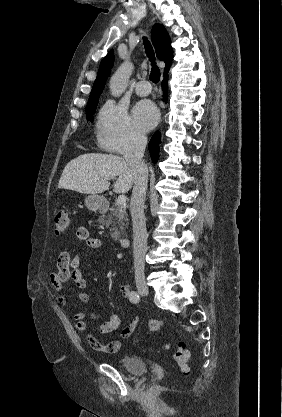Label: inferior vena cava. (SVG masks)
I'll use <instances>...</instances> for the list:
<instances>
[{
    "instance_id": "obj_1",
    "label": "inferior vena cava",
    "mask_w": 282,
    "mask_h": 417,
    "mask_svg": "<svg viewBox=\"0 0 282 417\" xmlns=\"http://www.w3.org/2000/svg\"><path fill=\"white\" fill-rule=\"evenodd\" d=\"M147 144L143 132H132L124 158L134 174V186L130 200L133 223V259L135 281H145V255L147 253V231L144 215V200L148 184V168L142 160Z\"/></svg>"
}]
</instances>
